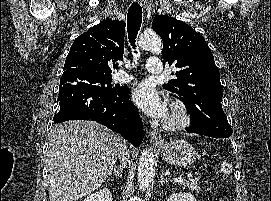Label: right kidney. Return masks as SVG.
Returning <instances> with one entry per match:
<instances>
[{
    "mask_svg": "<svg viewBox=\"0 0 271 201\" xmlns=\"http://www.w3.org/2000/svg\"><path fill=\"white\" fill-rule=\"evenodd\" d=\"M83 201H113L111 192L108 188H103L98 192H94L93 194L89 195Z\"/></svg>",
    "mask_w": 271,
    "mask_h": 201,
    "instance_id": "right-kidney-1",
    "label": "right kidney"
}]
</instances>
